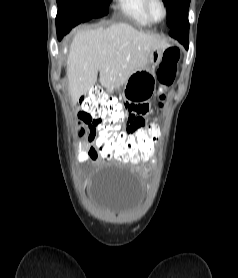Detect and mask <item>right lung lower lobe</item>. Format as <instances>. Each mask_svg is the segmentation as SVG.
<instances>
[{"label":"right lung lower lobe","instance_id":"98d812e1","mask_svg":"<svg viewBox=\"0 0 238 278\" xmlns=\"http://www.w3.org/2000/svg\"><path fill=\"white\" fill-rule=\"evenodd\" d=\"M86 16L82 10L74 6L59 7L56 17L57 37L59 40L67 34L72 27L85 22Z\"/></svg>","mask_w":238,"mask_h":278}]
</instances>
